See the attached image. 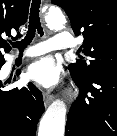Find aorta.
Instances as JSON below:
<instances>
[{
    "label": "aorta",
    "instance_id": "762f6f07",
    "mask_svg": "<svg viewBox=\"0 0 117 136\" xmlns=\"http://www.w3.org/2000/svg\"><path fill=\"white\" fill-rule=\"evenodd\" d=\"M45 20L54 29H62L66 23L65 16L57 8L50 9ZM66 113L65 103L54 101L40 121L38 136H64Z\"/></svg>",
    "mask_w": 117,
    "mask_h": 136
}]
</instances>
